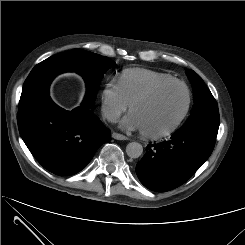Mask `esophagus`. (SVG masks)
<instances>
[{
  "label": "esophagus",
  "instance_id": "esophagus-1",
  "mask_svg": "<svg viewBox=\"0 0 245 245\" xmlns=\"http://www.w3.org/2000/svg\"><path fill=\"white\" fill-rule=\"evenodd\" d=\"M112 137L116 140H128V138L126 136L119 134V133H116V132L112 133Z\"/></svg>",
  "mask_w": 245,
  "mask_h": 245
}]
</instances>
